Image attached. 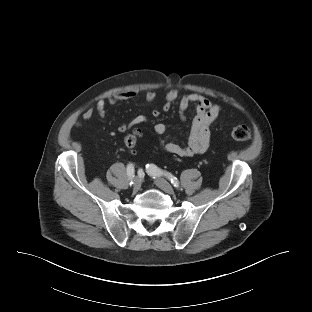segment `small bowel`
Wrapping results in <instances>:
<instances>
[{
    "label": "small bowel",
    "instance_id": "small-bowel-1",
    "mask_svg": "<svg viewBox=\"0 0 312 312\" xmlns=\"http://www.w3.org/2000/svg\"><path fill=\"white\" fill-rule=\"evenodd\" d=\"M137 93L135 91H127L118 93L107 101L100 100L96 103L94 108H88L83 111L82 118L85 120L91 119L94 112L99 116L105 117L107 104L114 105L121 101H126L135 98ZM156 99V93L153 90H148L145 93V100L147 102H153ZM178 101V114L181 120L186 119V111L191 105L195 107V116L192 120L190 132L188 135L187 143L181 145L174 141L160 140V144L164 151L173 154L178 157L186 158L192 157L197 154L204 153L209 145L211 139V127L217 121L221 114V107L213 103L207 97L198 93H188L183 96H179V93L175 89L169 90L165 95L164 105L162 110L167 112L172 105ZM153 117H158L160 111L153 109L151 112ZM147 121L145 115L135 116L129 123H122L118 130L121 133H125L135 126L144 124ZM154 131L158 137L165 136L167 134V127L163 123H157L154 126Z\"/></svg>",
    "mask_w": 312,
    "mask_h": 312
}]
</instances>
